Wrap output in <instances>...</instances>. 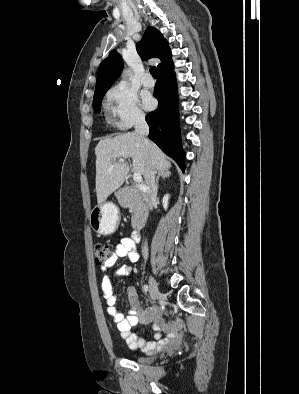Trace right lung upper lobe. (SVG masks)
<instances>
[{
    "mask_svg": "<svg viewBox=\"0 0 299 394\" xmlns=\"http://www.w3.org/2000/svg\"><path fill=\"white\" fill-rule=\"evenodd\" d=\"M136 49L143 59L159 58L158 70L170 63L171 51L168 42L163 35L154 27H148L143 38L137 43ZM123 68V61L116 50H112L109 56L99 66L95 94L108 90L119 77Z\"/></svg>",
    "mask_w": 299,
    "mask_h": 394,
    "instance_id": "cb5924a9",
    "label": "right lung upper lobe"
}]
</instances>
